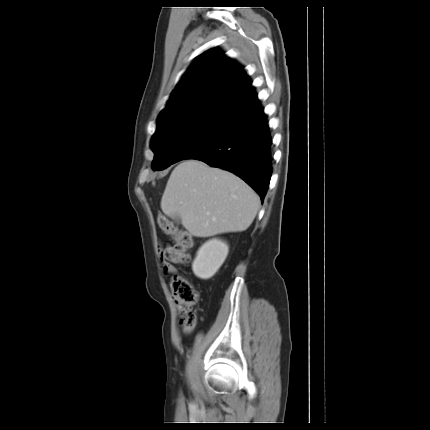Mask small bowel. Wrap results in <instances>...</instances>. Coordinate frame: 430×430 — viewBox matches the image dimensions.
I'll return each instance as SVG.
<instances>
[{
  "instance_id": "small-bowel-1",
  "label": "small bowel",
  "mask_w": 430,
  "mask_h": 430,
  "mask_svg": "<svg viewBox=\"0 0 430 430\" xmlns=\"http://www.w3.org/2000/svg\"><path fill=\"white\" fill-rule=\"evenodd\" d=\"M160 262L163 263V270L165 273H175L176 272V268L173 265L166 263V258H161Z\"/></svg>"
}]
</instances>
